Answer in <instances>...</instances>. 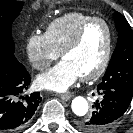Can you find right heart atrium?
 Wrapping results in <instances>:
<instances>
[{
    "label": "right heart atrium",
    "instance_id": "right-heart-atrium-1",
    "mask_svg": "<svg viewBox=\"0 0 133 133\" xmlns=\"http://www.w3.org/2000/svg\"><path fill=\"white\" fill-rule=\"evenodd\" d=\"M26 50L31 65L39 71L46 70L60 55L43 33L30 35Z\"/></svg>",
    "mask_w": 133,
    "mask_h": 133
}]
</instances>
